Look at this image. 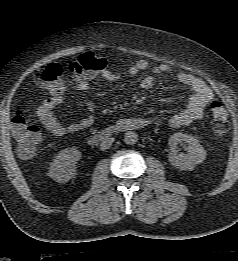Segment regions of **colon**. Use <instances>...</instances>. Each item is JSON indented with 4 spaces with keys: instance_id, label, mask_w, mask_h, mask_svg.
Here are the masks:
<instances>
[{
    "instance_id": "1",
    "label": "colon",
    "mask_w": 238,
    "mask_h": 261,
    "mask_svg": "<svg viewBox=\"0 0 238 261\" xmlns=\"http://www.w3.org/2000/svg\"><path fill=\"white\" fill-rule=\"evenodd\" d=\"M106 67L104 59L93 53H84L69 63H50L37 73L36 81L49 91L61 93L65 90V77L94 76ZM209 118L213 133L221 137L227 129V111L221 102L215 100L209 105ZM12 133L17 143L18 154L22 158H31L42 141L40 129L30 123L22 112L15 113L12 119Z\"/></svg>"
}]
</instances>
